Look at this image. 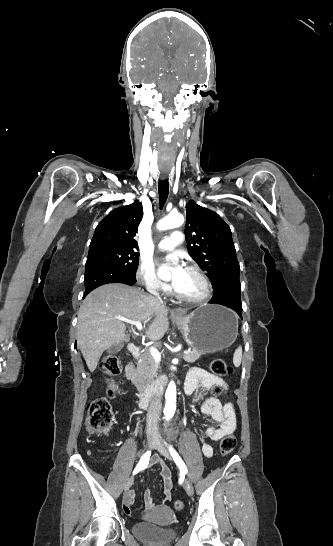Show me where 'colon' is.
<instances>
[{
  "instance_id": "1",
  "label": "colon",
  "mask_w": 333,
  "mask_h": 546,
  "mask_svg": "<svg viewBox=\"0 0 333 546\" xmlns=\"http://www.w3.org/2000/svg\"><path fill=\"white\" fill-rule=\"evenodd\" d=\"M100 370L106 374L110 380L109 396H113L117 387L111 380L119 373V361L117 357L108 355L102 358L99 364ZM210 370L213 375L218 377L229 376L233 369L223 359H214L210 364ZM214 396L219 395L220 389L216 386L211 387ZM113 413L108 398L100 397L89 403L87 409L86 428L90 434H99L107 431L112 424ZM237 439L230 433L225 435L220 442V453L222 455L230 454L236 447ZM176 510L184 508V502L177 500L174 503Z\"/></svg>"
}]
</instances>
